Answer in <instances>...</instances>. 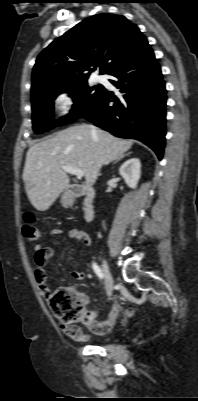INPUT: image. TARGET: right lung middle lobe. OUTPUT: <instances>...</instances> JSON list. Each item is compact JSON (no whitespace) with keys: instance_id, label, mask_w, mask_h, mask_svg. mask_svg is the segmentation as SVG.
I'll return each mask as SVG.
<instances>
[{"instance_id":"right-lung-middle-lobe-1","label":"right lung middle lobe","mask_w":198,"mask_h":401,"mask_svg":"<svg viewBox=\"0 0 198 401\" xmlns=\"http://www.w3.org/2000/svg\"><path fill=\"white\" fill-rule=\"evenodd\" d=\"M103 91V86L90 87L87 81H83L37 95L32 99L33 130L35 133H42L57 125H65L84 116L95 105ZM64 92L69 93V96L73 99V108L67 116L56 122L53 119V101L59 94Z\"/></svg>"}]
</instances>
